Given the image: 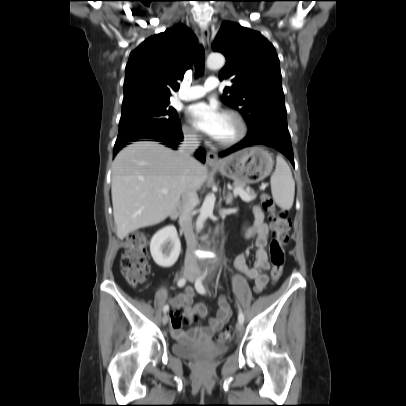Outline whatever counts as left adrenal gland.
I'll use <instances>...</instances> for the list:
<instances>
[{
	"instance_id": "left-adrenal-gland-1",
	"label": "left adrenal gland",
	"mask_w": 406,
	"mask_h": 406,
	"mask_svg": "<svg viewBox=\"0 0 406 406\" xmlns=\"http://www.w3.org/2000/svg\"><path fill=\"white\" fill-rule=\"evenodd\" d=\"M225 186H224V190H223V198L224 200H226V204L227 205H231L232 204V198H228V196L225 195Z\"/></svg>"
}]
</instances>
